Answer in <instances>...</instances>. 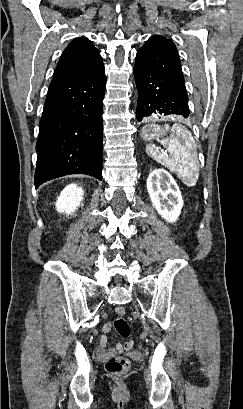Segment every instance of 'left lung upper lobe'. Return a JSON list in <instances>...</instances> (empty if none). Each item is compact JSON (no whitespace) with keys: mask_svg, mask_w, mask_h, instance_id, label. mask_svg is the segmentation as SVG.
I'll return each mask as SVG.
<instances>
[{"mask_svg":"<svg viewBox=\"0 0 243 409\" xmlns=\"http://www.w3.org/2000/svg\"><path fill=\"white\" fill-rule=\"evenodd\" d=\"M135 64L184 81L176 46L163 36L150 37L138 50Z\"/></svg>","mask_w":243,"mask_h":409,"instance_id":"5c2ea615","label":"left lung upper lobe"}]
</instances>
